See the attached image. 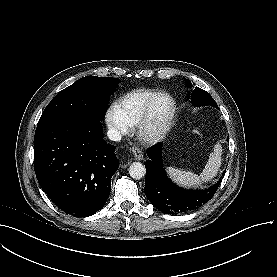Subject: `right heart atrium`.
Masks as SVG:
<instances>
[{
  "label": "right heart atrium",
  "mask_w": 277,
  "mask_h": 277,
  "mask_svg": "<svg viewBox=\"0 0 277 277\" xmlns=\"http://www.w3.org/2000/svg\"><path fill=\"white\" fill-rule=\"evenodd\" d=\"M106 123L111 132L116 136L124 135L129 130L127 123L123 120L115 106L108 108L106 112Z\"/></svg>",
  "instance_id": "1"
}]
</instances>
